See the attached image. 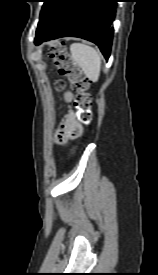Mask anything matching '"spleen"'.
Wrapping results in <instances>:
<instances>
[{"instance_id": "obj_1", "label": "spleen", "mask_w": 158, "mask_h": 275, "mask_svg": "<svg viewBox=\"0 0 158 275\" xmlns=\"http://www.w3.org/2000/svg\"><path fill=\"white\" fill-rule=\"evenodd\" d=\"M70 53L76 64L84 71L86 77L97 82L101 69V54L99 51L82 43L70 46Z\"/></svg>"}]
</instances>
